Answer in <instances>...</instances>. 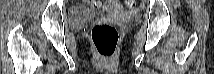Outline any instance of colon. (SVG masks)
Returning a JSON list of instances; mask_svg holds the SVG:
<instances>
[{"instance_id": "5ec220e1", "label": "colon", "mask_w": 214, "mask_h": 74, "mask_svg": "<svg viewBox=\"0 0 214 74\" xmlns=\"http://www.w3.org/2000/svg\"><path fill=\"white\" fill-rule=\"evenodd\" d=\"M101 1H91L94 8H98ZM127 9L136 5L135 0H125ZM119 34L115 26L108 23H97L92 28V41L97 53L102 57H111L117 48Z\"/></svg>"}]
</instances>
